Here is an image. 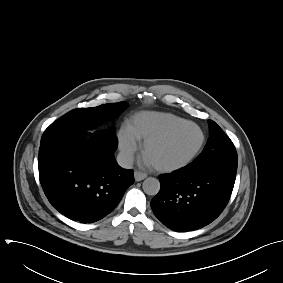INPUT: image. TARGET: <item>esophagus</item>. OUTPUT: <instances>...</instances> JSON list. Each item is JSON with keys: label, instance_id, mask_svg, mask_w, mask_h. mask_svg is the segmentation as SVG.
Masks as SVG:
<instances>
[{"label": "esophagus", "instance_id": "obj_1", "mask_svg": "<svg viewBox=\"0 0 283 283\" xmlns=\"http://www.w3.org/2000/svg\"><path fill=\"white\" fill-rule=\"evenodd\" d=\"M146 177H147L146 173H143L141 171H135L134 172V178H135V181H137V182L144 180Z\"/></svg>", "mask_w": 283, "mask_h": 283}]
</instances>
